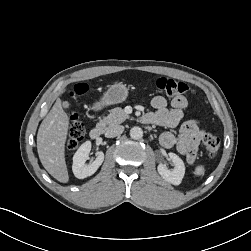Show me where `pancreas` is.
<instances>
[{
    "mask_svg": "<svg viewBox=\"0 0 251 251\" xmlns=\"http://www.w3.org/2000/svg\"><path fill=\"white\" fill-rule=\"evenodd\" d=\"M127 118H129V115L126 114L122 108L116 107L111 110L108 116L100 120L98 126L103 129H109L124 122Z\"/></svg>",
    "mask_w": 251,
    "mask_h": 251,
    "instance_id": "pancreas-1",
    "label": "pancreas"
}]
</instances>
